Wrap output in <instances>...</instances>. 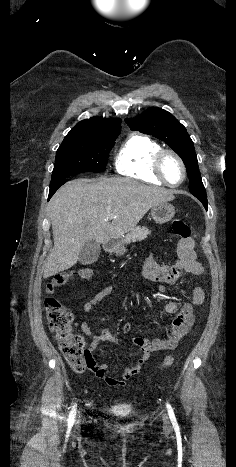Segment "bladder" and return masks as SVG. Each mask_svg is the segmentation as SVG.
I'll use <instances>...</instances> for the list:
<instances>
[{
  "mask_svg": "<svg viewBox=\"0 0 236 467\" xmlns=\"http://www.w3.org/2000/svg\"><path fill=\"white\" fill-rule=\"evenodd\" d=\"M119 411H125V409H123V408H120V409H119Z\"/></svg>",
  "mask_w": 236,
  "mask_h": 467,
  "instance_id": "31cf9c89",
  "label": "bladder"
}]
</instances>
